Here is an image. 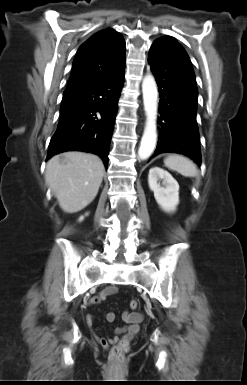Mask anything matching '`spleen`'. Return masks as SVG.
<instances>
[{
  "label": "spleen",
  "mask_w": 247,
  "mask_h": 385,
  "mask_svg": "<svg viewBox=\"0 0 247 385\" xmlns=\"http://www.w3.org/2000/svg\"><path fill=\"white\" fill-rule=\"evenodd\" d=\"M164 164L169 169L174 170L186 177H195L198 175L197 166L190 159L172 154L164 159Z\"/></svg>",
  "instance_id": "obj_1"
}]
</instances>
